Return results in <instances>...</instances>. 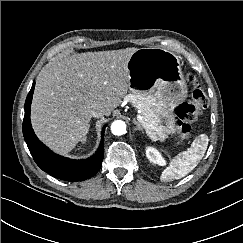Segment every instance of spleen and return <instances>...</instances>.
<instances>
[{"mask_svg": "<svg viewBox=\"0 0 243 243\" xmlns=\"http://www.w3.org/2000/svg\"><path fill=\"white\" fill-rule=\"evenodd\" d=\"M208 136L201 134L187 151L179 153L161 174V181L169 182L180 179L191 172L204 156L208 146Z\"/></svg>", "mask_w": 243, "mask_h": 243, "instance_id": "1", "label": "spleen"}]
</instances>
